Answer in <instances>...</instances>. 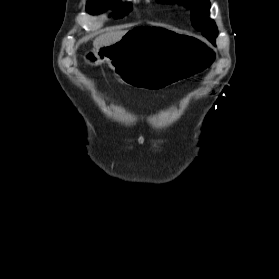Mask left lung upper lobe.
<instances>
[{
  "instance_id": "5c2ea615",
  "label": "left lung upper lobe",
  "mask_w": 279,
  "mask_h": 279,
  "mask_svg": "<svg viewBox=\"0 0 279 279\" xmlns=\"http://www.w3.org/2000/svg\"><path fill=\"white\" fill-rule=\"evenodd\" d=\"M160 3H178L191 10L192 25L202 32L211 42L218 36V29L213 20L209 19V0H157Z\"/></svg>"
}]
</instances>
